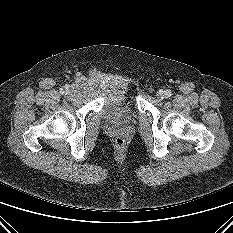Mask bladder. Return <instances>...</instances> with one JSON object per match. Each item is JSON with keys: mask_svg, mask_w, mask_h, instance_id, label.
<instances>
[{"mask_svg": "<svg viewBox=\"0 0 233 233\" xmlns=\"http://www.w3.org/2000/svg\"><path fill=\"white\" fill-rule=\"evenodd\" d=\"M86 84L96 85L97 83L87 80ZM135 113L134 101L128 93L127 85L117 81L106 82L102 116L114 124H127L134 118Z\"/></svg>", "mask_w": 233, "mask_h": 233, "instance_id": "bladder-1", "label": "bladder"}]
</instances>
